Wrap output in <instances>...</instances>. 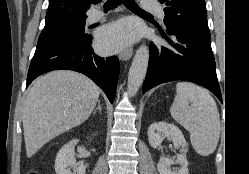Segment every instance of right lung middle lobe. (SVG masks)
<instances>
[{
	"label": "right lung middle lobe",
	"mask_w": 249,
	"mask_h": 174,
	"mask_svg": "<svg viewBox=\"0 0 249 174\" xmlns=\"http://www.w3.org/2000/svg\"><path fill=\"white\" fill-rule=\"evenodd\" d=\"M90 36L85 33V19L63 21L44 27L37 47H44L65 39H85Z\"/></svg>",
	"instance_id": "obj_1"
}]
</instances>
